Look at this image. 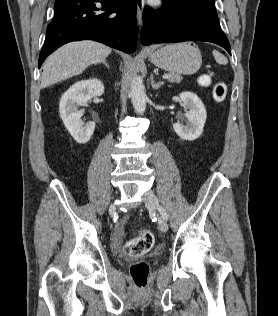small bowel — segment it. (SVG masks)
Listing matches in <instances>:
<instances>
[{
    "label": "small bowel",
    "instance_id": "1",
    "mask_svg": "<svg viewBox=\"0 0 278 316\" xmlns=\"http://www.w3.org/2000/svg\"><path fill=\"white\" fill-rule=\"evenodd\" d=\"M125 223V219L122 220V222L117 226L116 228V232H115V242L117 243L119 238H120V235H121V230H122V227Z\"/></svg>",
    "mask_w": 278,
    "mask_h": 316
}]
</instances>
